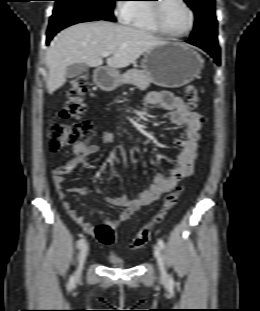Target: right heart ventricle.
I'll return each instance as SVG.
<instances>
[{"instance_id":"e07e8e85","label":"right heart ventricle","mask_w":260,"mask_h":311,"mask_svg":"<svg viewBox=\"0 0 260 311\" xmlns=\"http://www.w3.org/2000/svg\"><path fill=\"white\" fill-rule=\"evenodd\" d=\"M137 2L148 0H135ZM150 4L134 3L128 4V10L124 17V22L136 29L152 33H161L154 25L150 15Z\"/></svg>"}]
</instances>
